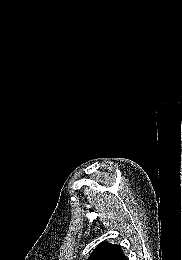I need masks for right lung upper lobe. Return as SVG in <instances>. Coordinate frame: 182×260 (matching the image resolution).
<instances>
[{
  "label": "right lung upper lobe",
  "mask_w": 182,
  "mask_h": 260,
  "mask_svg": "<svg viewBox=\"0 0 182 260\" xmlns=\"http://www.w3.org/2000/svg\"><path fill=\"white\" fill-rule=\"evenodd\" d=\"M88 260H127L119 245L101 243L93 250Z\"/></svg>",
  "instance_id": "1"
}]
</instances>
